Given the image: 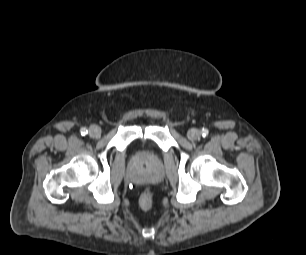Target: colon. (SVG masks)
Segmentation results:
<instances>
[{"label": "colon", "mask_w": 306, "mask_h": 255, "mask_svg": "<svg viewBox=\"0 0 306 255\" xmlns=\"http://www.w3.org/2000/svg\"><path fill=\"white\" fill-rule=\"evenodd\" d=\"M139 205L143 210H151L153 207V198L150 190H144L139 197Z\"/></svg>", "instance_id": "colon-1"}]
</instances>
